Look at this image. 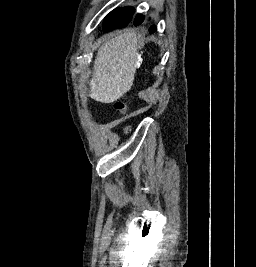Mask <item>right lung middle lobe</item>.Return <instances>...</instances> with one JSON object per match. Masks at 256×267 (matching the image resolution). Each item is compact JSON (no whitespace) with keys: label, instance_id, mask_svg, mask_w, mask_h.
Wrapping results in <instances>:
<instances>
[{"label":"right lung middle lobe","instance_id":"dd1d6c3e","mask_svg":"<svg viewBox=\"0 0 256 267\" xmlns=\"http://www.w3.org/2000/svg\"><path fill=\"white\" fill-rule=\"evenodd\" d=\"M134 12L132 7L115 9L109 13L103 22V31L108 32L120 24L123 20L129 18Z\"/></svg>","mask_w":256,"mask_h":267}]
</instances>
